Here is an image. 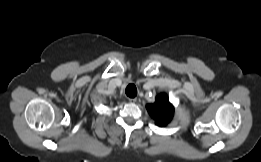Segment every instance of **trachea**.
Listing matches in <instances>:
<instances>
[{
    "mask_svg": "<svg viewBox=\"0 0 261 162\" xmlns=\"http://www.w3.org/2000/svg\"><path fill=\"white\" fill-rule=\"evenodd\" d=\"M125 92L128 97L134 98L137 95V88L134 84H129Z\"/></svg>",
    "mask_w": 261,
    "mask_h": 162,
    "instance_id": "obj_1",
    "label": "trachea"
}]
</instances>
